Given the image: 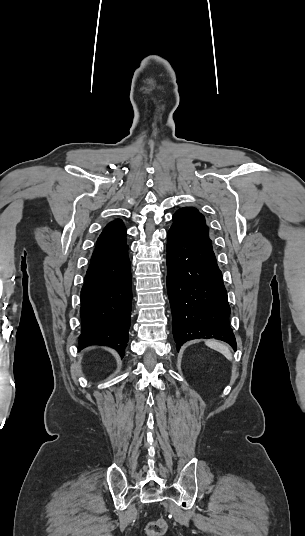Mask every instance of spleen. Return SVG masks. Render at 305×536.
<instances>
[{"label": "spleen", "mask_w": 305, "mask_h": 536, "mask_svg": "<svg viewBox=\"0 0 305 536\" xmlns=\"http://www.w3.org/2000/svg\"><path fill=\"white\" fill-rule=\"evenodd\" d=\"M206 346L208 348H212V350H217V352H221L227 360H232V354H230V350H228L227 346H224V344H220V342H215V340H207L205 342Z\"/></svg>", "instance_id": "1"}]
</instances>
